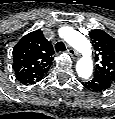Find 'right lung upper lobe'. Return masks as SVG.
Listing matches in <instances>:
<instances>
[{
	"instance_id": "obj_1",
	"label": "right lung upper lobe",
	"mask_w": 115,
	"mask_h": 119,
	"mask_svg": "<svg viewBox=\"0 0 115 119\" xmlns=\"http://www.w3.org/2000/svg\"><path fill=\"white\" fill-rule=\"evenodd\" d=\"M54 50L42 31L25 35L13 49V69L23 84L40 81L52 65Z\"/></svg>"
}]
</instances>
